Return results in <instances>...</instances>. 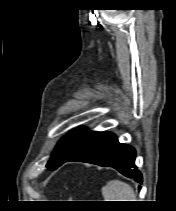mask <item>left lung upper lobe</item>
<instances>
[{
	"label": "left lung upper lobe",
	"mask_w": 176,
	"mask_h": 211,
	"mask_svg": "<svg viewBox=\"0 0 176 211\" xmlns=\"http://www.w3.org/2000/svg\"><path fill=\"white\" fill-rule=\"evenodd\" d=\"M96 133L98 132L80 128L64 136L58 142L51 159L46 165L48 169L55 170L62 165L67 159L80 151Z\"/></svg>",
	"instance_id": "1"
}]
</instances>
